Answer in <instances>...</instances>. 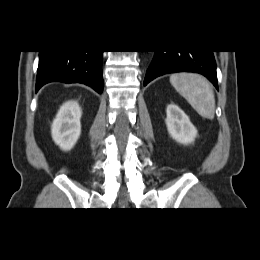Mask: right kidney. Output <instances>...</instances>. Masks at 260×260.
<instances>
[{
  "label": "right kidney",
  "instance_id": "obj_1",
  "mask_svg": "<svg viewBox=\"0 0 260 260\" xmlns=\"http://www.w3.org/2000/svg\"><path fill=\"white\" fill-rule=\"evenodd\" d=\"M82 111L76 101L66 102L58 111L51 126L54 142L63 150L72 149L81 134Z\"/></svg>",
  "mask_w": 260,
  "mask_h": 260
}]
</instances>
